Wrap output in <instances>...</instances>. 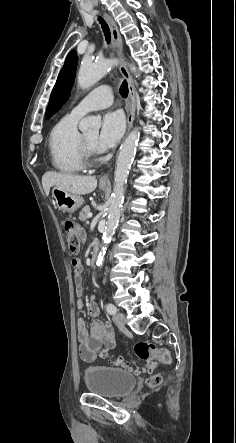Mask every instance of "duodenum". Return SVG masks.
Here are the masks:
<instances>
[{"mask_svg": "<svg viewBox=\"0 0 236 443\" xmlns=\"http://www.w3.org/2000/svg\"><path fill=\"white\" fill-rule=\"evenodd\" d=\"M97 253H98V247L95 248L91 258H90V262L93 263L96 260L97 257Z\"/></svg>", "mask_w": 236, "mask_h": 443, "instance_id": "duodenum-1", "label": "duodenum"}]
</instances>
